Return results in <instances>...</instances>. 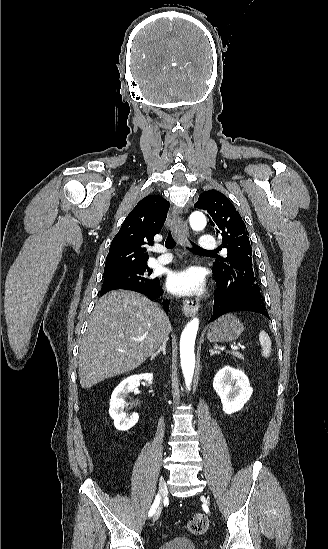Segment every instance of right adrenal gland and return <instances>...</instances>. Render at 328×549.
<instances>
[{
  "instance_id": "obj_1",
  "label": "right adrenal gland",
  "mask_w": 328,
  "mask_h": 549,
  "mask_svg": "<svg viewBox=\"0 0 328 549\" xmlns=\"http://www.w3.org/2000/svg\"><path fill=\"white\" fill-rule=\"evenodd\" d=\"M165 347H166V341L165 343H163L162 347H160V349H158L157 353H154V355H152L151 359H155V357H157V355H159V353H163V355H166V351H165Z\"/></svg>"
}]
</instances>
